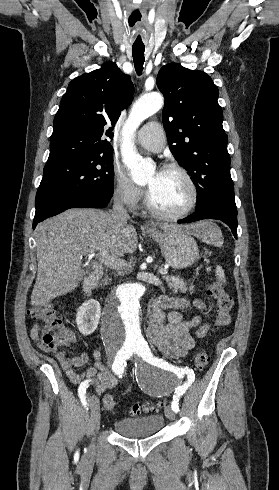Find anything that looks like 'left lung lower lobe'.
<instances>
[{
    "mask_svg": "<svg viewBox=\"0 0 279 490\" xmlns=\"http://www.w3.org/2000/svg\"><path fill=\"white\" fill-rule=\"evenodd\" d=\"M203 219H217L226 223L237 239V211H231L223 205L210 203L205 208L196 210L192 215L181 219L178 223H190Z\"/></svg>",
    "mask_w": 279,
    "mask_h": 490,
    "instance_id": "left-lung-lower-lobe-1",
    "label": "left lung lower lobe"
}]
</instances>
